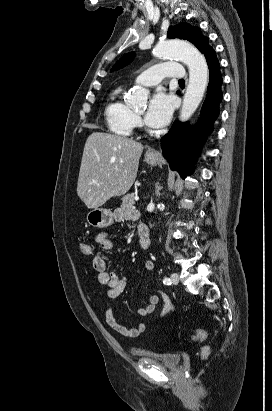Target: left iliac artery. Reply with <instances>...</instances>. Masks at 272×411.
<instances>
[{
	"instance_id": "obj_1",
	"label": "left iliac artery",
	"mask_w": 272,
	"mask_h": 411,
	"mask_svg": "<svg viewBox=\"0 0 272 411\" xmlns=\"http://www.w3.org/2000/svg\"><path fill=\"white\" fill-rule=\"evenodd\" d=\"M163 283H164L165 285H170V284H171V279L168 278V277H165V278L163 279Z\"/></svg>"
}]
</instances>
